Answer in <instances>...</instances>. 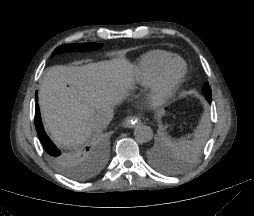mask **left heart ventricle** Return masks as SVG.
<instances>
[{
    "label": "left heart ventricle",
    "mask_w": 254,
    "mask_h": 216,
    "mask_svg": "<svg viewBox=\"0 0 254 216\" xmlns=\"http://www.w3.org/2000/svg\"><path fill=\"white\" fill-rule=\"evenodd\" d=\"M179 71H180V64L175 63L169 68L168 73H167V77L169 79H172L178 74Z\"/></svg>",
    "instance_id": "1"
}]
</instances>
